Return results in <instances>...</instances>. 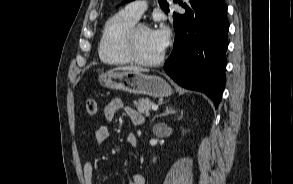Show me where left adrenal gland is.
<instances>
[{"mask_svg":"<svg viewBox=\"0 0 293 184\" xmlns=\"http://www.w3.org/2000/svg\"><path fill=\"white\" fill-rule=\"evenodd\" d=\"M176 113V111L174 109H172V107H166L165 109V112L160 114V115H156L152 121H154L157 117H163V116H166V115H171V114H174Z\"/></svg>","mask_w":293,"mask_h":184,"instance_id":"a2214340","label":"left adrenal gland"}]
</instances>
